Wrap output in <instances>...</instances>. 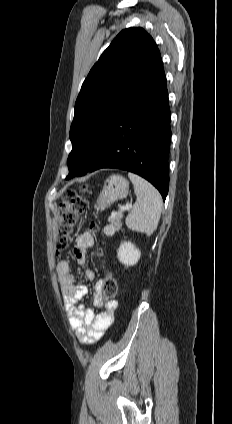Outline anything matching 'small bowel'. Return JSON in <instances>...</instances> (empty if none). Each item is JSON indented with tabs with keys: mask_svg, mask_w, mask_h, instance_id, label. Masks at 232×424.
Wrapping results in <instances>:
<instances>
[{
	"mask_svg": "<svg viewBox=\"0 0 232 424\" xmlns=\"http://www.w3.org/2000/svg\"><path fill=\"white\" fill-rule=\"evenodd\" d=\"M93 244V237L88 233L80 235L76 239L73 247V257L78 264L85 263L87 250L91 248ZM56 275L71 329L74 331L80 343L86 345L94 344L112 325L116 301L104 300L101 293L103 280L99 279L95 284L92 304L94 307L100 308V310L94 312L81 303L88 293V288L84 284L76 283L79 275L71 270L67 260L58 262L56 266ZM85 277L89 280H93V271H85Z\"/></svg>",
	"mask_w": 232,
	"mask_h": 424,
	"instance_id": "1",
	"label": "small bowel"
}]
</instances>
